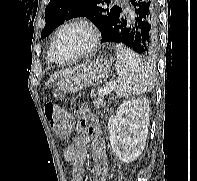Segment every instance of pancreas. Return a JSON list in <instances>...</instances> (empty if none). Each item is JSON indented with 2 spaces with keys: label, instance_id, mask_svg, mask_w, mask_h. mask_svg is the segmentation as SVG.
I'll list each match as a JSON object with an SVG mask.
<instances>
[{
  "label": "pancreas",
  "instance_id": "pancreas-1",
  "mask_svg": "<svg viewBox=\"0 0 197 181\" xmlns=\"http://www.w3.org/2000/svg\"><path fill=\"white\" fill-rule=\"evenodd\" d=\"M94 105H95V107H97V108L102 107V106H103V100H102V99H96V100L94 101Z\"/></svg>",
  "mask_w": 197,
  "mask_h": 181
}]
</instances>
